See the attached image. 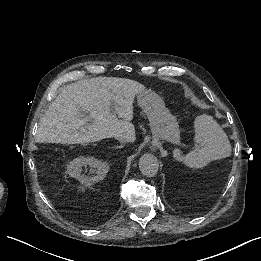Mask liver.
<instances>
[{"instance_id": "6515ba94", "label": "liver", "mask_w": 261, "mask_h": 261, "mask_svg": "<svg viewBox=\"0 0 261 261\" xmlns=\"http://www.w3.org/2000/svg\"><path fill=\"white\" fill-rule=\"evenodd\" d=\"M143 91V84L126 78L95 77L71 83L61 89L40 119L36 138L61 144L106 138L134 142L133 102ZM86 123L89 125L83 129Z\"/></svg>"}]
</instances>
